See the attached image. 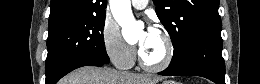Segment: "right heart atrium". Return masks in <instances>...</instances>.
Segmentation results:
<instances>
[{"mask_svg": "<svg viewBox=\"0 0 260 84\" xmlns=\"http://www.w3.org/2000/svg\"><path fill=\"white\" fill-rule=\"evenodd\" d=\"M101 38L104 51L115 66L129 68L134 64L135 49L126 42L115 21L106 18L102 27Z\"/></svg>", "mask_w": 260, "mask_h": 84, "instance_id": "d8ad5b80", "label": "right heart atrium"}]
</instances>
